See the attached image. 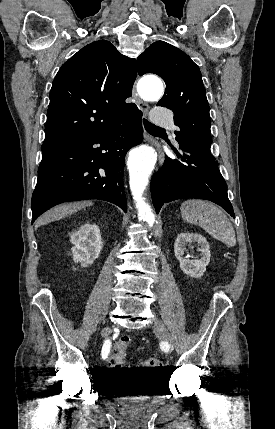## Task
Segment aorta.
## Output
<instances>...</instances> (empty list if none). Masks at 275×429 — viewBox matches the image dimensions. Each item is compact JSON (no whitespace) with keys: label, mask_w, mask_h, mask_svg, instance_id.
I'll return each instance as SVG.
<instances>
[{"label":"aorta","mask_w":275,"mask_h":429,"mask_svg":"<svg viewBox=\"0 0 275 429\" xmlns=\"http://www.w3.org/2000/svg\"><path fill=\"white\" fill-rule=\"evenodd\" d=\"M139 92L143 99L157 101L164 93V86L160 79L146 77L139 83ZM156 160L157 154L155 150L152 147L143 145L131 153L128 161L130 189L138 210V218L149 226H153L155 215L151 207L145 202L143 193L148 185L149 176L154 169Z\"/></svg>","instance_id":"aorta-1"}]
</instances>
